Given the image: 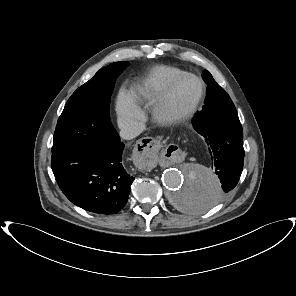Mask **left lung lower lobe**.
Instances as JSON below:
<instances>
[{
    "mask_svg": "<svg viewBox=\"0 0 296 296\" xmlns=\"http://www.w3.org/2000/svg\"><path fill=\"white\" fill-rule=\"evenodd\" d=\"M193 126L204 141L221 187L202 189L191 182L181 195L182 206L204 211L217 204L237 185L244 162L243 132L235 106L227 93L215 96L197 111Z\"/></svg>",
    "mask_w": 296,
    "mask_h": 296,
    "instance_id": "left-lung-lower-lobe-1",
    "label": "left lung lower lobe"
}]
</instances>
